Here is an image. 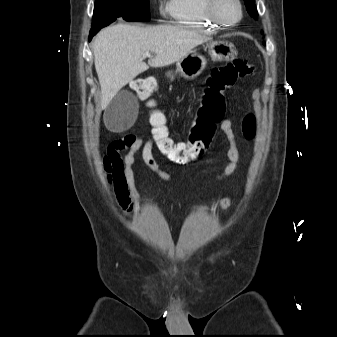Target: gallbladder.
<instances>
[{
	"label": "gallbladder",
	"instance_id": "obj_1",
	"mask_svg": "<svg viewBox=\"0 0 337 337\" xmlns=\"http://www.w3.org/2000/svg\"><path fill=\"white\" fill-rule=\"evenodd\" d=\"M138 101L133 93L123 90L109 103L104 113V123L111 131L130 128L136 120Z\"/></svg>",
	"mask_w": 337,
	"mask_h": 337
}]
</instances>
